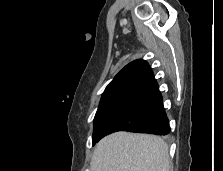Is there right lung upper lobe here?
<instances>
[{
  "label": "right lung upper lobe",
  "instance_id": "1",
  "mask_svg": "<svg viewBox=\"0 0 223 171\" xmlns=\"http://www.w3.org/2000/svg\"><path fill=\"white\" fill-rule=\"evenodd\" d=\"M157 86L149 65L136 60L125 66L106 87L102 99L129 96L139 97Z\"/></svg>",
  "mask_w": 223,
  "mask_h": 171
}]
</instances>
